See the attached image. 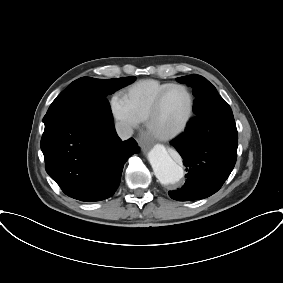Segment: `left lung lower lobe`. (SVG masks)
I'll list each match as a JSON object with an SVG mask.
<instances>
[{
  "label": "left lung lower lobe",
  "mask_w": 283,
  "mask_h": 283,
  "mask_svg": "<svg viewBox=\"0 0 283 283\" xmlns=\"http://www.w3.org/2000/svg\"><path fill=\"white\" fill-rule=\"evenodd\" d=\"M230 106L221 96L205 108L197 107L186 130L171 142L186 166V182L169 196L178 201L203 199L217 192L233 170L238 141L213 138L212 133L225 131Z\"/></svg>",
  "instance_id": "1"
}]
</instances>
